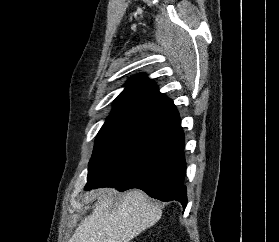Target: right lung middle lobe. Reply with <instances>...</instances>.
Segmentation results:
<instances>
[{
  "mask_svg": "<svg viewBox=\"0 0 279 242\" xmlns=\"http://www.w3.org/2000/svg\"><path fill=\"white\" fill-rule=\"evenodd\" d=\"M161 123V117L144 113L111 114L97 135L87 180L103 177L148 141Z\"/></svg>",
  "mask_w": 279,
  "mask_h": 242,
  "instance_id": "dd1d6c3e",
  "label": "right lung middle lobe"
}]
</instances>
